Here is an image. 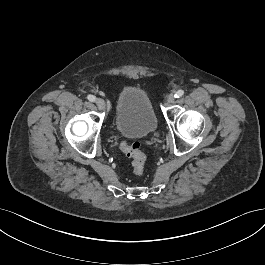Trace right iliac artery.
<instances>
[{
	"label": "right iliac artery",
	"mask_w": 265,
	"mask_h": 265,
	"mask_svg": "<svg viewBox=\"0 0 265 265\" xmlns=\"http://www.w3.org/2000/svg\"><path fill=\"white\" fill-rule=\"evenodd\" d=\"M87 99H88L89 101H91V102H94L95 99H96V97H95L94 95H88V96H87Z\"/></svg>",
	"instance_id": "82829eb1"
}]
</instances>
